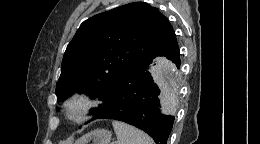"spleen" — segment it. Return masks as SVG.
Segmentation results:
<instances>
[{"instance_id": "3e777b00", "label": "spleen", "mask_w": 260, "mask_h": 144, "mask_svg": "<svg viewBox=\"0 0 260 144\" xmlns=\"http://www.w3.org/2000/svg\"><path fill=\"white\" fill-rule=\"evenodd\" d=\"M118 144H153V140L143 131L124 122H112Z\"/></svg>"}]
</instances>
